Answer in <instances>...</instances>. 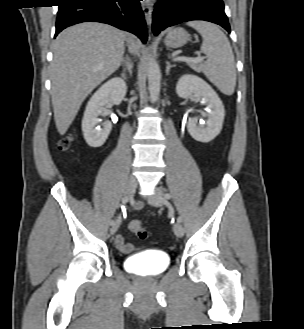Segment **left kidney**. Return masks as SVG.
Returning <instances> with one entry per match:
<instances>
[{"mask_svg":"<svg viewBox=\"0 0 304 329\" xmlns=\"http://www.w3.org/2000/svg\"><path fill=\"white\" fill-rule=\"evenodd\" d=\"M176 93L181 98L202 99L209 108L205 125H198L196 117L189 118L187 129L196 141L208 143L222 130L225 109L222 101L212 87L202 78L186 74L180 77L176 85Z\"/></svg>","mask_w":304,"mask_h":329,"instance_id":"5707ae66","label":"left kidney"}]
</instances>
